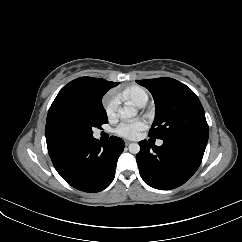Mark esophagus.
I'll list each match as a JSON object with an SVG mask.
<instances>
[{
  "instance_id": "obj_1",
  "label": "esophagus",
  "mask_w": 242,
  "mask_h": 242,
  "mask_svg": "<svg viewBox=\"0 0 242 242\" xmlns=\"http://www.w3.org/2000/svg\"><path fill=\"white\" fill-rule=\"evenodd\" d=\"M131 143V141H125V145L128 146Z\"/></svg>"
}]
</instances>
